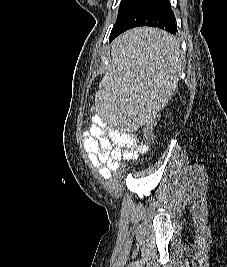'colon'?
Segmentation results:
<instances>
[{"label":"colon","instance_id":"obj_1","mask_svg":"<svg viewBox=\"0 0 227 267\" xmlns=\"http://www.w3.org/2000/svg\"><path fill=\"white\" fill-rule=\"evenodd\" d=\"M161 114L150 115L148 123L145 124L146 130L143 131V134L146 136V140H155V135H153V131H156L158 125L161 124L160 121ZM143 143H140L139 148H142ZM138 163V157L136 154L126 155V160L122 162V170L124 173L127 171H134V165Z\"/></svg>","mask_w":227,"mask_h":267}]
</instances>
